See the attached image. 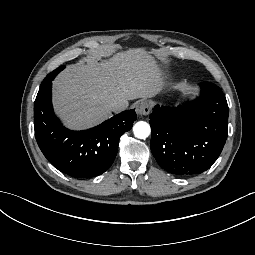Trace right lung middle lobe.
I'll list each match as a JSON object with an SVG mask.
<instances>
[{"label":"right lung middle lobe","mask_w":255,"mask_h":255,"mask_svg":"<svg viewBox=\"0 0 255 255\" xmlns=\"http://www.w3.org/2000/svg\"><path fill=\"white\" fill-rule=\"evenodd\" d=\"M64 66H61L59 68H57L56 70H54L53 72H51L50 74H48L45 79L43 80L41 85L47 84L48 82H51L55 76L64 69Z\"/></svg>","instance_id":"dd1d6c3e"}]
</instances>
